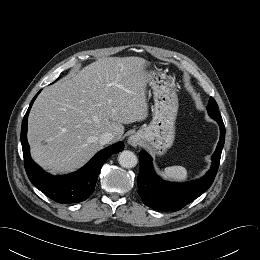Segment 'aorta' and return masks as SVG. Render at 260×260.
<instances>
[{
    "mask_svg": "<svg viewBox=\"0 0 260 260\" xmlns=\"http://www.w3.org/2000/svg\"><path fill=\"white\" fill-rule=\"evenodd\" d=\"M118 161L124 168H133L136 166L138 159L132 151L124 150L119 154Z\"/></svg>",
    "mask_w": 260,
    "mask_h": 260,
    "instance_id": "obj_1",
    "label": "aorta"
}]
</instances>
